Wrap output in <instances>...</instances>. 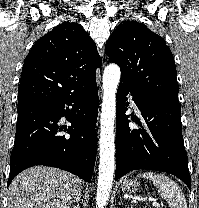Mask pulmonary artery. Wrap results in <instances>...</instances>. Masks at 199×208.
Listing matches in <instances>:
<instances>
[{
    "label": "pulmonary artery",
    "mask_w": 199,
    "mask_h": 208,
    "mask_svg": "<svg viewBox=\"0 0 199 208\" xmlns=\"http://www.w3.org/2000/svg\"><path fill=\"white\" fill-rule=\"evenodd\" d=\"M130 101H131L132 106H133V108L135 109V111H137V112H138V108H137V106H136V104H135L134 100H133L132 98H130Z\"/></svg>",
    "instance_id": "obj_1"
}]
</instances>
